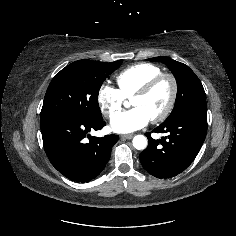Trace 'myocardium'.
Here are the masks:
<instances>
[{"mask_svg":"<svg viewBox=\"0 0 236 236\" xmlns=\"http://www.w3.org/2000/svg\"><path fill=\"white\" fill-rule=\"evenodd\" d=\"M167 80L170 83L171 86V92H170V97L167 102L166 107L164 110L157 116L151 119L152 123H159L164 121L168 116L171 114V112L174 109L177 96H178V81L176 77L171 74V73H161L157 75L156 77L150 79L148 82H146L138 91H136L133 96V98L136 97H145L149 95L152 90L162 81Z\"/></svg>","mask_w":236,"mask_h":236,"instance_id":"1","label":"myocardium"}]
</instances>
